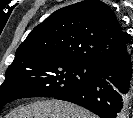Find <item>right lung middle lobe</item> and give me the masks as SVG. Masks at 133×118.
Here are the masks:
<instances>
[{
    "instance_id": "1",
    "label": "right lung middle lobe",
    "mask_w": 133,
    "mask_h": 118,
    "mask_svg": "<svg viewBox=\"0 0 133 118\" xmlns=\"http://www.w3.org/2000/svg\"><path fill=\"white\" fill-rule=\"evenodd\" d=\"M96 68L61 58H47L23 67L8 69L0 86V111L24 97H56L90 82Z\"/></svg>"
}]
</instances>
